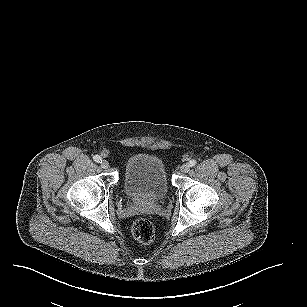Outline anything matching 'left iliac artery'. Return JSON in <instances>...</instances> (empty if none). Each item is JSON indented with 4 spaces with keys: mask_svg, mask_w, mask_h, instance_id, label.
<instances>
[{
    "mask_svg": "<svg viewBox=\"0 0 307 307\" xmlns=\"http://www.w3.org/2000/svg\"><path fill=\"white\" fill-rule=\"evenodd\" d=\"M188 164H189L190 167H193V166H195L197 164V161L192 159V160L189 161Z\"/></svg>",
    "mask_w": 307,
    "mask_h": 307,
    "instance_id": "left-iliac-artery-1",
    "label": "left iliac artery"
}]
</instances>
